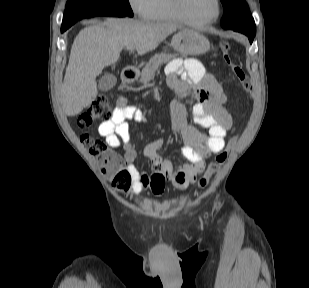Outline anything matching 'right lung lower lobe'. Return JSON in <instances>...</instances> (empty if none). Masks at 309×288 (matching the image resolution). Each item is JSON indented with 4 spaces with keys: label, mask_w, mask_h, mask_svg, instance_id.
Returning a JSON list of instances; mask_svg holds the SVG:
<instances>
[{
    "label": "right lung lower lobe",
    "mask_w": 309,
    "mask_h": 288,
    "mask_svg": "<svg viewBox=\"0 0 309 288\" xmlns=\"http://www.w3.org/2000/svg\"><path fill=\"white\" fill-rule=\"evenodd\" d=\"M94 16H117V17H124V16H128L124 13H120V12H109V11H101V12H95L90 14L87 17H94ZM66 30V28H61V32H64Z\"/></svg>",
    "instance_id": "right-lung-lower-lobe-1"
}]
</instances>
